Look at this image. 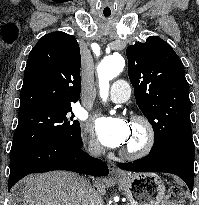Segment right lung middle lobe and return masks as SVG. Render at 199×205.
Listing matches in <instances>:
<instances>
[{"label":"right lung middle lobe","instance_id":"dd1d6c3e","mask_svg":"<svg viewBox=\"0 0 199 205\" xmlns=\"http://www.w3.org/2000/svg\"><path fill=\"white\" fill-rule=\"evenodd\" d=\"M18 115L10 155L49 142H81L80 124L74 120L71 104L36 106Z\"/></svg>","mask_w":199,"mask_h":205}]
</instances>
